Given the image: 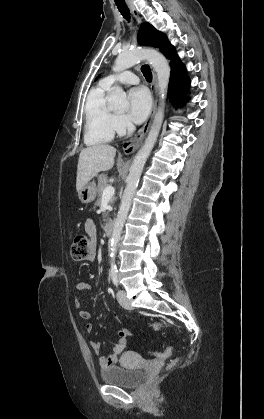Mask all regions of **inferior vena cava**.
Returning a JSON list of instances; mask_svg holds the SVG:
<instances>
[{"instance_id": "602c4592", "label": "inferior vena cava", "mask_w": 264, "mask_h": 419, "mask_svg": "<svg viewBox=\"0 0 264 419\" xmlns=\"http://www.w3.org/2000/svg\"><path fill=\"white\" fill-rule=\"evenodd\" d=\"M127 130H128V134L133 133V132L135 131V126H134V124H133V123H131V122H128V123H127Z\"/></svg>"}]
</instances>
